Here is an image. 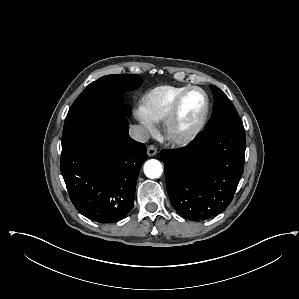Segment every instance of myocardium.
I'll return each instance as SVG.
<instances>
[{
    "label": "myocardium",
    "instance_id": "obj_1",
    "mask_svg": "<svg viewBox=\"0 0 299 299\" xmlns=\"http://www.w3.org/2000/svg\"><path fill=\"white\" fill-rule=\"evenodd\" d=\"M198 91L204 99V107L199 118L187 128H180L178 125L181 106L186 96L192 92ZM210 108V100L202 88L198 86H189L185 88L173 102L166 118L164 119V134L168 141L175 145H185L192 141L204 127Z\"/></svg>",
    "mask_w": 299,
    "mask_h": 299
}]
</instances>
